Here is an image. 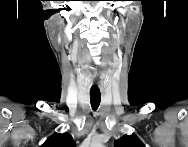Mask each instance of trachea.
<instances>
[{
	"instance_id": "1",
	"label": "trachea",
	"mask_w": 188,
	"mask_h": 147,
	"mask_svg": "<svg viewBox=\"0 0 188 147\" xmlns=\"http://www.w3.org/2000/svg\"><path fill=\"white\" fill-rule=\"evenodd\" d=\"M101 101V95L99 93H90V102L93 110L99 107Z\"/></svg>"
}]
</instances>
